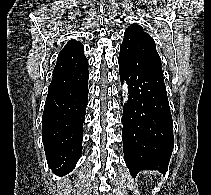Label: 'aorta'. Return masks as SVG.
Instances as JSON below:
<instances>
[{"instance_id":"obj_1","label":"aorta","mask_w":211,"mask_h":195,"mask_svg":"<svg viewBox=\"0 0 211 195\" xmlns=\"http://www.w3.org/2000/svg\"><path fill=\"white\" fill-rule=\"evenodd\" d=\"M122 90H123V93L125 94V97L123 98V102L127 103V101H128V85L125 80L123 81Z\"/></svg>"}]
</instances>
